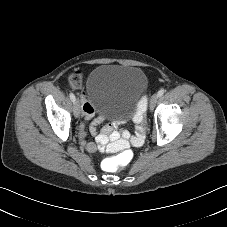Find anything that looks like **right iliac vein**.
Wrapping results in <instances>:
<instances>
[{
  "mask_svg": "<svg viewBox=\"0 0 227 227\" xmlns=\"http://www.w3.org/2000/svg\"><path fill=\"white\" fill-rule=\"evenodd\" d=\"M73 112H74V116L76 118L80 117L81 107H80V102L78 100H76L75 103H74Z\"/></svg>",
  "mask_w": 227,
  "mask_h": 227,
  "instance_id": "obj_1",
  "label": "right iliac vein"
}]
</instances>
